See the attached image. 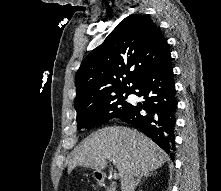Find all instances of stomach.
I'll use <instances>...</instances> for the list:
<instances>
[{
  "label": "stomach",
  "instance_id": "1",
  "mask_svg": "<svg viewBox=\"0 0 221 191\" xmlns=\"http://www.w3.org/2000/svg\"><path fill=\"white\" fill-rule=\"evenodd\" d=\"M99 172L98 171H96L94 174H95V176H96V174H98Z\"/></svg>",
  "mask_w": 221,
  "mask_h": 191
}]
</instances>
